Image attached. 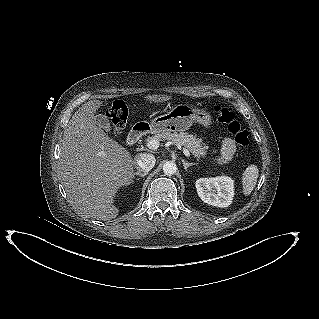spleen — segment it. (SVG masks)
Returning a JSON list of instances; mask_svg holds the SVG:
<instances>
[{"label":"spleen","mask_w":319,"mask_h":319,"mask_svg":"<svg viewBox=\"0 0 319 319\" xmlns=\"http://www.w3.org/2000/svg\"><path fill=\"white\" fill-rule=\"evenodd\" d=\"M258 176L259 170L256 165L251 164L245 169L242 177L243 194L245 196L250 195L255 188Z\"/></svg>","instance_id":"spleen-1"}]
</instances>
